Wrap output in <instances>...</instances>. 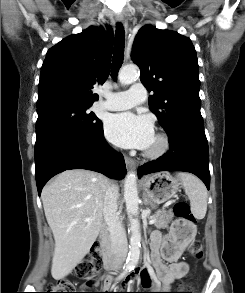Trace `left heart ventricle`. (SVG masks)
<instances>
[{
    "label": "left heart ventricle",
    "mask_w": 245,
    "mask_h": 293,
    "mask_svg": "<svg viewBox=\"0 0 245 293\" xmlns=\"http://www.w3.org/2000/svg\"><path fill=\"white\" fill-rule=\"evenodd\" d=\"M156 147H158V141L154 137L153 141L151 142L150 146L147 149H155Z\"/></svg>",
    "instance_id": "b2bd125f"
}]
</instances>
